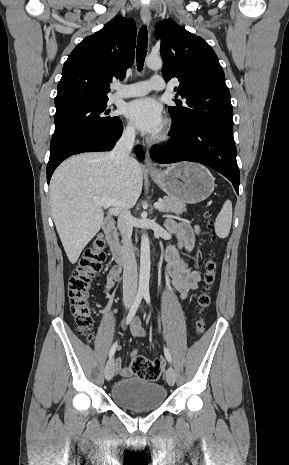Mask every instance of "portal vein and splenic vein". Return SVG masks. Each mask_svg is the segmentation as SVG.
Instances as JSON below:
<instances>
[{"mask_svg":"<svg viewBox=\"0 0 289 465\" xmlns=\"http://www.w3.org/2000/svg\"><path fill=\"white\" fill-rule=\"evenodd\" d=\"M93 201L101 206H103L104 208H108V207H111V206H115L117 204V201L114 200V199H110V198H100V197H94L93 198ZM162 206V203L161 201L159 202H156L154 204V207L155 208H160Z\"/></svg>","mask_w":289,"mask_h":465,"instance_id":"1","label":"portal vein and splenic vein"}]
</instances>
